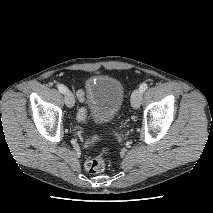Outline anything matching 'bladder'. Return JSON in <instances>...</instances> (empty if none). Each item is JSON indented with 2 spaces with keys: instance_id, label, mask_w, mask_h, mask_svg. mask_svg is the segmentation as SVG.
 Segmentation results:
<instances>
[{
  "instance_id": "1",
  "label": "bladder",
  "mask_w": 213,
  "mask_h": 213,
  "mask_svg": "<svg viewBox=\"0 0 213 213\" xmlns=\"http://www.w3.org/2000/svg\"><path fill=\"white\" fill-rule=\"evenodd\" d=\"M86 103L101 123H110L116 119L124 101V87L117 78L97 74L85 81Z\"/></svg>"
}]
</instances>
